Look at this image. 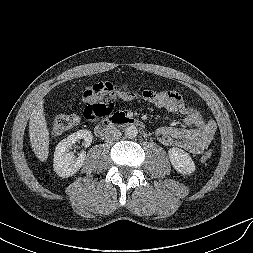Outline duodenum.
I'll list each match as a JSON object with an SVG mask.
<instances>
[{
	"instance_id": "duodenum-1",
	"label": "duodenum",
	"mask_w": 253,
	"mask_h": 253,
	"mask_svg": "<svg viewBox=\"0 0 253 253\" xmlns=\"http://www.w3.org/2000/svg\"><path fill=\"white\" fill-rule=\"evenodd\" d=\"M116 126H142V122L139 119L127 116L125 113L117 112L98 123L94 132L97 136L104 137Z\"/></svg>"
}]
</instances>
